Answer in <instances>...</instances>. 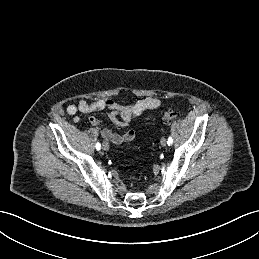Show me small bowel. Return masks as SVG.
Returning <instances> with one entry per match:
<instances>
[{"mask_svg":"<svg viewBox=\"0 0 259 259\" xmlns=\"http://www.w3.org/2000/svg\"><path fill=\"white\" fill-rule=\"evenodd\" d=\"M161 106V101L157 98L147 97L133 104L124 105L109 98L98 99L93 102L80 100L76 104H71L66 111L73 116V121L78 122V113H92L95 111H109V118L118 127L125 128L136 118L142 116L147 111L157 109ZM146 120L148 118L146 117ZM90 124L97 127L103 138L113 144L120 145L131 142L135 138L133 130H126L122 133H116L105 127L102 121L94 116L89 118Z\"/></svg>","mask_w":259,"mask_h":259,"instance_id":"obj_1","label":"small bowel"}]
</instances>
